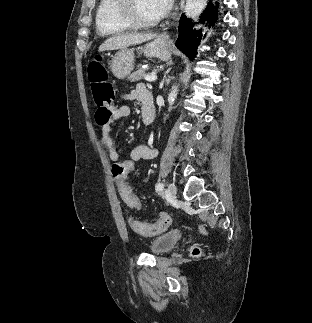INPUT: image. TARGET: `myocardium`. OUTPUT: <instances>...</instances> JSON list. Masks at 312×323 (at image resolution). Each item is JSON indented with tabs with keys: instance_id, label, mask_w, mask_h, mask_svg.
<instances>
[{
	"instance_id": "1",
	"label": "myocardium",
	"mask_w": 312,
	"mask_h": 323,
	"mask_svg": "<svg viewBox=\"0 0 312 323\" xmlns=\"http://www.w3.org/2000/svg\"><path fill=\"white\" fill-rule=\"evenodd\" d=\"M134 0H118L114 13L118 15L122 25H139V27H146V25H158V18H139V12H136L134 6Z\"/></svg>"
}]
</instances>
